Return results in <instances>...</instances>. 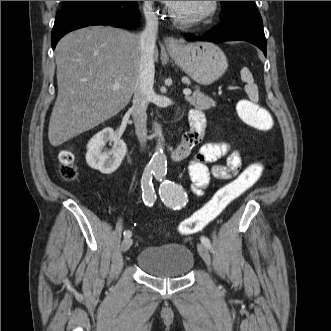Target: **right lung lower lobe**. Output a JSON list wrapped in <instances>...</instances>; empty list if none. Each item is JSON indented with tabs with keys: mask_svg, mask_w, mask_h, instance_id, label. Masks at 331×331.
I'll return each mask as SVG.
<instances>
[{
	"mask_svg": "<svg viewBox=\"0 0 331 331\" xmlns=\"http://www.w3.org/2000/svg\"><path fill=\"white\" fill-rule=\"evenodd\" d=\"M91 25L135 28L139 26L136 1H96L61 10L52 30V48L66 33Z\"/></svg>",
	"mask_w": 331,
	"mask_h": 331,
	"instance_id": "obj_1",
	"label": "right lung lower lobe"
}]
</instances>
